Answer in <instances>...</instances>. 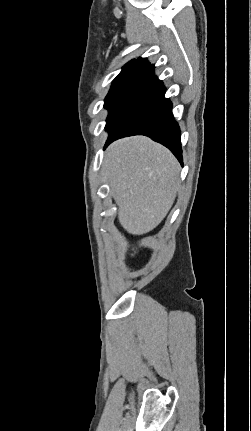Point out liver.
I'll list each match as a JSON object with an SVG mask.
<instances>
[{"label": "liver", "instance_id": "liver-1", "mask_svg": "<svg viewBox=\"0 0 251 431\" xmlns=\"http://www.w3.org/2000/svg\"><path fill=\"white\" fill-rule=\"evenodd\" d=\"M179 172L173 154L147 137L123 138L108 147L102 173L128 233L143 235L162 222L180 188Z\"/></svg>", "mask_w": 251, "mask_h": 431}]
</instances>
